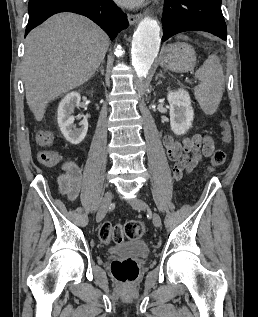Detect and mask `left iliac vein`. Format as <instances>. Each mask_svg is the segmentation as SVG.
I'll return each instance as SVG.
<instances>
[{
	"label": "left iliac vein",
	"instance_id": "obj_1",
	"mask_svg": "<svg viewBox=\"0 0 258 317\" xmlns=\"http://www.w3.org/2000/svg\"><path fill=\"white\" fill-rule=\"evenodd\" d=\"M132 202L131 207L133 209L137 210H142L143 207L145 208L146 206L144 205L145 203L142 201L141 197H136L135 200H130ZM144 205V206H143ZM161 217L158 213H153L152 217V223L155 224L156 228H161L162 227V222H161Z\"/></svg>",
	"mask_w": 258,
	"mask_h": 317
}]
</instances>
